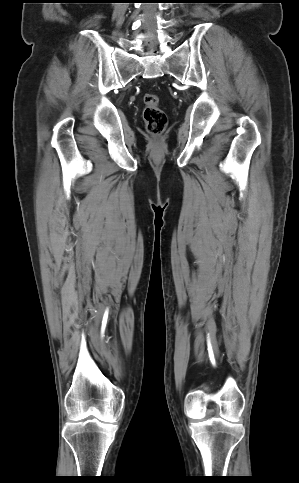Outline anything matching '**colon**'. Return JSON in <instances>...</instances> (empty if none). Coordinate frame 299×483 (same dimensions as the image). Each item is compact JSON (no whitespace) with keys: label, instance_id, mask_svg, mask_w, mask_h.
<instances>
[{"label":"colon","instance_id":"1","mask_svg":"<svg viewBox=\"0 0 299 483\" xmlns=\"http://www.w3.org/2000/svg\"><path fill=\"white\" fill-rule=\"evenodd\" d=\"M143 119L147 131L152 135H161L167 127V115L159 106V97L156 94H145Z\"/></svg>","mask_w":299,"mask_h":483}]
</instances>
